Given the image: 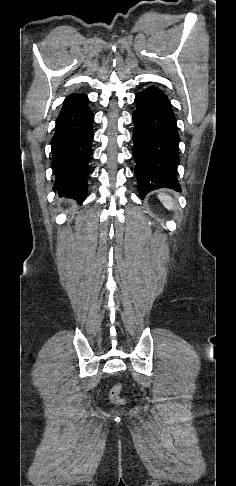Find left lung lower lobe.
I'll list each match as a JSON object with an SVG mask.
<instances>
[{
    "label": "left lung lower lobe",
    "instance_id": "left-lung-lower-lobe-1",
    "mask_svg": "<svg viewBox=\"0 0 236 486\" xmlns=\"http://www.w3.org/2000/svg\"><path fill=\"white\" fill-rule=\"evenodd\" d=\"M133 156L141 198L159 188L180 189L177 167L180 137L168 97L151 86L135 97Z\"/></svg>",
    "mask_w": 236,
    "mask_h": 486
}]
</instances>
